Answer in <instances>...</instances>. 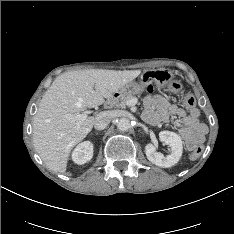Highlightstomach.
Segmentation results:
<instances>
[{
  "label": "stomach",
  "mask_w": 234,
  "mask_h": 234,
  "mask_svg": "<svg viewBox=\"0 0 234 234\" xmlns=\"http://www.w3.org/2000/svg\"><path fill=\"white\" fill-rule=\"evenodd\" d=\"M173 78V73L171 70L160 68L157 70H145L139 81L132 80L122 86L116 94L119 97L126 95H135L143 92L145 88L151 84L155 83L157 86L165 87Z\"/></svg>",
  "instance_id": "stomach-1"
}]
</instances>
